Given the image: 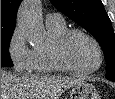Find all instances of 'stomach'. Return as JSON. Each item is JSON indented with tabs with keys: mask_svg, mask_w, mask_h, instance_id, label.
Here are the masks:
<instances>
[{
	"mask_svg": "<svg viewBox=\"0 0 115 99\" xmlns=\"http://www.w3.org/2000/svg\"><path fill=\"white\" fill-rule=\"evenodd\" d=\"M70 99H100V97L94 85L83 81L73 86L70 91Z\"/></svg>",
	"mask_w": 115,
	"mask_h": 99,
	"instance_id": "obj_1",
	"label": "stomach"
}]
</instances>
